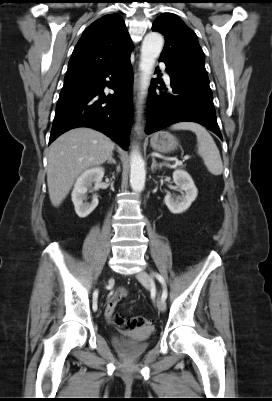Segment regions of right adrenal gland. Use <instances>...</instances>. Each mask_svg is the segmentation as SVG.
Returning <instances> with one entry per match:
<instances>
[{
    "mask_svg": "<svg viewBox=\"0 0 272 401\" xmlns=\"http://www.w3.org/2000/svg\"><path fill=\"white\" fill-rule=\"evenodd\" d=\"M109 163L116 164V161H115V159L113 158V156H111V157L108 159L107 164H109Z\"/></svg>",
    "mask_w": 272,
    "mask_h": 401,
    "instance_id": "1",
    "label": "right adrenal gland"
}]
</instances>
